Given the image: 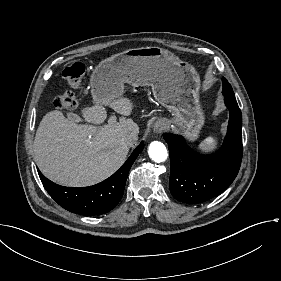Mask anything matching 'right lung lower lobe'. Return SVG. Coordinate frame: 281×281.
Instances as JSON below:
<instances>
[{
    "mask_svg": "<svg viewBox=\"0 0 281 281\" xmlns=\"http://www.w3.org/2000/svg\"><path fill=\"white\" fill-rule=\"evenodd\" d=\"M143 147L144 143L141 142L115 174L93 186L64 187L50 181L40 171L39 176L46 191L66 210L82 215L105 214L120 201L129 170Z\"/></svg>",
    "mask_w": 281,
    "mask_h": 281,
    "instance_id": "98d812e1",
    "label": "right lung lower lobe"
}]
</instances>
